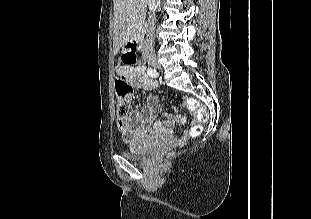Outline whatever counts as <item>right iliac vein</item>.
I'll return each instance as SVG.
<instances>
[{
	"label": "right iliac vein",
	"instance_id": "63e3f726",
	"mask_svg": "<svg viewBox=\"0 0 311 219\" xmlns=\"http://www.w3.org/2000/svg\"><path fill=\"white\" fill-rule=\"evenodd\" d=\"M147 60H148V63L153 66L154 68L156 69H159L161 66H160V63L158 62L156 56L154 55H150L147 57Z\"/></svg>",
	"mask_w": 311,
	"mask_h": 219
}]
</instances>
